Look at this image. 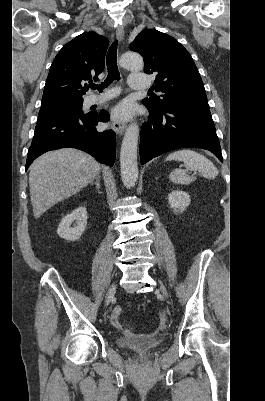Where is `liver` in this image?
<instances>
[{"instance_id": "6515ba94", "label": "liver", "mask_w": 265, "mask_h": 401, "mask_svg": "<svg viewBox=\"0 0 265 401\" xmlns=\"http://www.w3.org/2000/svg\"><path fill=\"white\" fill-rule=\"evenodd\" d=\"M101 164L82 150L60 148L36 158L30 166L29 186L35 219L56 203L79 192L99 176Z\"/></svg>"}]
</instances>
